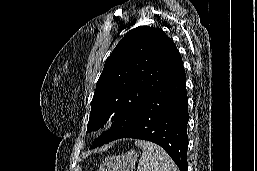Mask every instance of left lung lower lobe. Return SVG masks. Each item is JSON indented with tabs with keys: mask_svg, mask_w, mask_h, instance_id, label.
I'll return each mask as SVG.
<instances>
[{
	"mask_svg": "<svg viewBox=\"0 0 257 171\" xmlns=\"http://www.w3.org/2000/svg\"><path fill=\"white\" fill-rule=\"evenodd\" d=\"M188 120L186 75L179 54L132 123L113 140L135 138L152 141L170 155L180 171H187Z\"/></svg>",
	"mask_w": 257,
	"mask_h": 171,
	"instance_id": "1",
	"label": "left lung lower lobe"
}]
</instances>
